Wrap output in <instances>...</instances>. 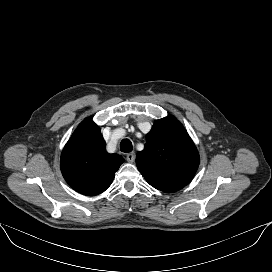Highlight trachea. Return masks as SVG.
Masks as SVG:
<instances>
[{
	"label": "trachea",
	"instance_id": "obj_1",
	"mask_svg": "<svg viewBox=\"0 0 272 272\" xmlns=\"http://www.w3.org/2000/svg\"><path fill=\"white\" fill-rule=\"evenodd\" d=\"M120 150L125 153H129L132 151V143L129 139H124L121 142Z\"/></svg>",
	"mask_w": 272,
	"mask_h": 272
}]
</instances>
